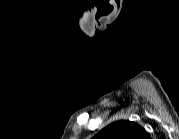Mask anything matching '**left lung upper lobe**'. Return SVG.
Segmentation results:
<instances>
[{
    "instance_id": "5c2ea615",
    "label": "left lung upper lobe",
    "mask_w": 179,
    "mask_h": 139,
    "mask_svg": "<svg viewBox=\"0 0 179 139\" xmlns=\"http://www.w3.org/2000/svg\"><path fill=\"white\" fill-rule=\"evenodd\" d=\"M97 136L105 139H145L148 133L134 122L120 120L106 126Z\"/></svg>"
}]
</instances>
